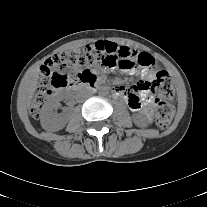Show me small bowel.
<instances>
[{
    "instance_id": "obj_1",
    "label": "small bowel",
    "mask_w": 207,
    "mask_h": 207,
    "mask_svg": "<svg viewBox=\"0 0 207 207\" xmlns=\"http://www.w3.org/2000/svg\"><path fill=\"white\" fill-rule=\"evenodd\" d=\"M124 70L132 75L141 74L146 79L137 82L134 86L129 88L117 86L113 89V95L117 98L124 99L133 112H138L143 107H146L144 110L145 116L148 120H151L153 114V99L149 95L148 78L151 77L153 71H142L135 68Z\"/></svg>"
}]
</instances>
